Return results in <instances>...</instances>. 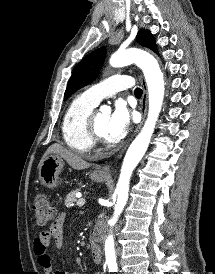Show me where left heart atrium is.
Listing matches in <instances>:
<instances>
[{"label": "left heart atrium", "mask_w": 215, "mask_h": 274, "mask_svg": "<svg viewBox=\"0 0 215 274\" xmlns=\"http://www.w3.org/2000/svg\"><path fill=\"white\" fill-rule=\"evenodd\" d=\"M131 114L123 103H117L109 116L105 138L111 142H118L128 132Z\"/></svg>", "instance_id": "1"}]
</instances>
